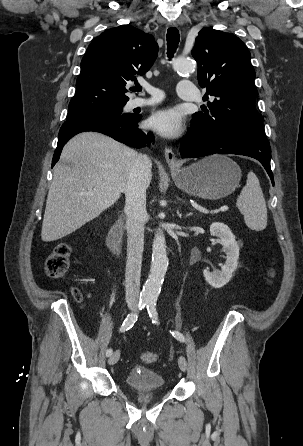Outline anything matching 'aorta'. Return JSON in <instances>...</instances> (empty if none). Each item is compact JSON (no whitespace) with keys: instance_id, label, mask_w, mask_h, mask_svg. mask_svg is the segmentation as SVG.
Segmentation results:
<instances>
[{"instance_id":"762f6f07","label":"aorta","mask_w":303,"mask_h":446,"mask_svg":"<svg viewBox=\"0 0 303 446\" xmlns=\"http://www.w3.org/2000/svg\"><path fill=\"white\" fill-rule=\"evenodd\" d=\"M173 68L178 73H191L195 70V64L185 58H177L173 63ZM168 267V257L166 252V241L164 233L158 229L155 233L152 245V262L148 279L146 280L141 293L144 301H156L164 276Z\"/></svg>"}]
</instances>
